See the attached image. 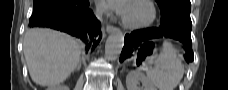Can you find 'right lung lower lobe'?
Instances as JSON below:
<instances>
[{
    "label": "right lung lower lobe",
    "instance_id": "obj_1",
    "mask_svg": "<svg viewBox=\"0 0 228 90\" xmlns=\"http://www.w3.org/2000/svg\"><path fill=\"white\" fill-rule=\"evenodd\" d=\"M30 27H50L80 38L86 50L102 38L101 24L89 9L88 0H35Z\"/></svg>",
    "mask_w": 228,
    "mask_h": 90
}]
</instances>
